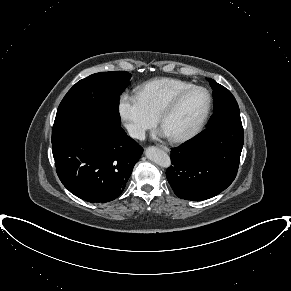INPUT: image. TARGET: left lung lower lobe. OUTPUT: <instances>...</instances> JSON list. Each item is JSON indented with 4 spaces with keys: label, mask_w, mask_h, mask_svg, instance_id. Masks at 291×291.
I'll use <instances>...</instances> for the list:
<instances>
[{
    "label": "left lung lower lobe",
    "mask_w": 291,
    "mask_h": 291,
    "mask_svg": "<svg viewBox=\"0 0 291 291\" xmlns=\"http://www.w3.org/2000/svg\"><path fill=\"white\" fill-rule=\"evenodd\" d=\"M244 143L241 122H217L171 151L166 177L175 194L185 200L211 198L236 177Z\"/></svg>",
    "instance_id": "obj_1"
}]
</instances>
